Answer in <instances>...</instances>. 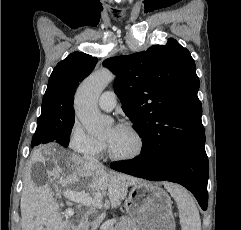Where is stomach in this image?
<instances>
[{"instance_id":"stomach-1","label":"stomach","mask_w":241,"mask_h":230,"mask_svg":"<svg viewBox=\"0 0 241 230\" xmlns=\"http://www.w3.org/2000/svg\"><path fill=\"white\" fill-rule=\"evenodd\" d=\"M135 230H175L172 202L159 186L140 181L132 185L125 202Z\"/></svg>"}]
</instances>
